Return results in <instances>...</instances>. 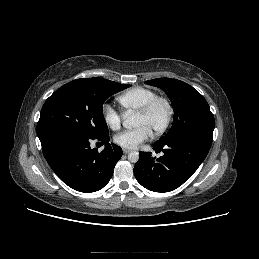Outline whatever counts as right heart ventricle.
Segmentation results:
<instances>
[{"instance_id": "right-heart-ventricle-1", "label": "right heart ventricle", "mask_w": 259, "mask_h": 259, "mask_svg": "<svg viewBox=\"0 0 259 259\" xmlns=\"http://www.w3.org/2000/svg\"><path fill=\"white\" fill-rule=\"evenodd\" d=\"M156 96H158L156 91L138 86L120 94L117 101L126 111H138Z\"/></svg>"}]
</instances>
